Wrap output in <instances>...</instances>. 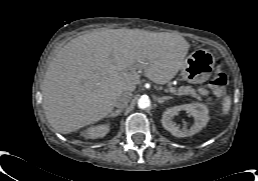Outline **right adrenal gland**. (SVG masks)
I'll use <instances>...</instances> for the list:
<instances>
[{"label": "right adrenal gland", "mask_w": 258, "mask_h": 181, "mask_svg": "<svg viewBox=\"0 0 258 181\" xmlns=\"http://www.w3.org/2000/svg\"><path fill=\"white\" fill-rule=\"evenodd\" d=\"M121 112H122L121 109L111 111V113H110L107 117H108V118H110V117H116V116H118L119 114H121Z\"/></svg>", "instance_id": "1"}]
</instances>
